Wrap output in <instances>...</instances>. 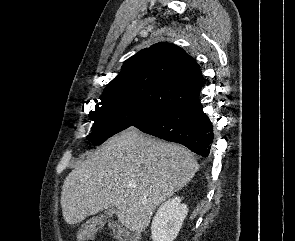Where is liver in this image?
I'll return each instance as SVG.
<instances>
[{"mask_svg": "<svg viewBox=\"0 0 295 241\" xmlns=\"http://www.w3.org/2000/svg\"><path fill=\"white\" fill-rule=\"evenodd\" d=\"M198 169L197 160L184 146L135 129L122 132L89 154L64 180V220L73 225L116 207L118 221L140 234L156 207L186 186Z\"/></svg>", "mask_w": 295, "mask_h": 241, "instance_id": "6515ba94", "label": "liver"}]
</instances>
